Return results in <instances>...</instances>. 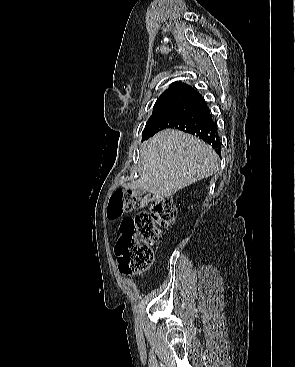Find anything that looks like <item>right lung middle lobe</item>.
Masks as SVG:
<instances>
[{
    "label": "right lung middle lobe",
    "mask_w": 295,
    "mask_h": 367,
    "mask_svg": "<svg viewBox=\"0 0 295 367\" xmlns=\"http://www.w3.org/2000/svg\"><path fill=\"white\" fill-rule=\"evenodd\" d=\"M194 90L191 89H172L166 90L156 101L154 110L143 130V138L148 136L161 122L172 114Z\"/></svg>",
    "instance_id": "dd1d6c3e"
}]
</instances>
